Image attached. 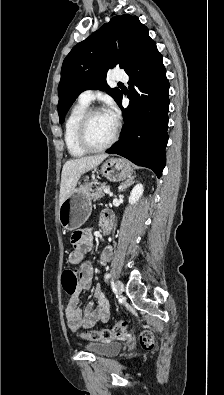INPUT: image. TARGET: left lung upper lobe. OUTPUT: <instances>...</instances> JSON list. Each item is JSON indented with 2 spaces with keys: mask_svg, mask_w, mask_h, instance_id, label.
<instances>
[{
  "mask_svg": "<svg viewBox=\"0 0 224 395\" xmlns=\"http://www.w3.org/2000/svg\"><path fill=\"white\" fill-rule=\"evenodd\" d=\"M153 42L148 28L138 17L123 14L73 47L66 56L58 87V113L60 123L78 95L87 89H106L117 102L121 96L118 88H109L107 71L117 64L128 72L141 53Z\"/></svg>",
  "mask_w": 224,
  "mask_h": 395,
  "instance_id": "1",
  "label": "left lung upper lobe"
}]
</instances>
